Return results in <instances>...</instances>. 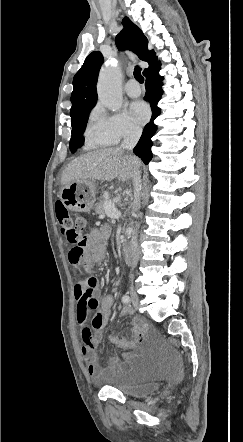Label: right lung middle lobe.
Returning <instances> with one entry per match:
<instances>
[{
  "label": "right lung middle lobe",
  "instance_id": "right-lung-middle-lobe-1",
  "mask_svg": "<svg viewBox=\"0 0 243 442\" xmlns=\"http://www.w3.org/2000/svg\"><path fill=\"white\" fill-rule=\"evenodd\" d=\"M89 113L90 111L82 113L76 120L71 123L72 136L70 139V150L73 153L84 143L83 131L87 125V117Z\"/></svg>",
  "mask_w": 243,
  "mask_h": 442
}]
</instances>
